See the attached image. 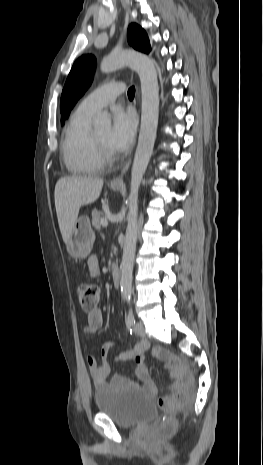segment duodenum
<instances>
[{
    "label": "duodenum",
    "mask_w": 263,
    "mask_h": 465,
    "mask_svg": "<svg viewBox=\"0 0 263 465\" xmlns=\"http://www.w3.org/2000/svg\"><path fill=\"white\" fill-rule=\"evenodd\" d=\"M112 279H113V283H114L115 287H119L120 282H121V272H120L118 267H113V269H112Z\"/></svg>",
    "instance_id": "410a0bca"
}]
</instances>
